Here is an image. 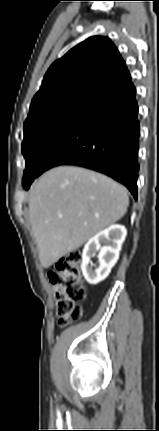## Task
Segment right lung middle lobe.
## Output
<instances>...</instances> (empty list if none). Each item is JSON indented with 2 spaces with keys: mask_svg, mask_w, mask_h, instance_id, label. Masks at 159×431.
Returning a JSON list of instances; mask_svg holds the SVG:
<instances>
[{
  "mask_svg": "<svg viewBox=\"0 0 159 431\" xmlns=\"http://www.w3.org/2000/svg\"><path fill=\"white\" fill-rule=\"evenodd\" d=\"M88 116L60 112L36 119L24 125L22 153L26 160L23 185L39 173L43 159L49 149L70 129Z\"/></svg>",
  "mask_w": 159,
  "mask_h": 431,
  "instance_id": "obj_1",
  "label": "right lung middle lobe"
}]
</instances>
